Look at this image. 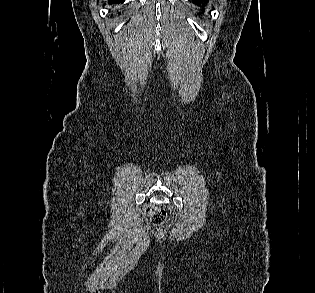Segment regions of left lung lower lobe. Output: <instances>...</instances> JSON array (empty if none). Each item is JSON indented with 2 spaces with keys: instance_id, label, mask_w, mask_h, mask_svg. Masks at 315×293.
Masks as SVG:
<instances>
[{
  "instance_id": "0a47b994",
  "label": "left lung lower lobe",
  "mask_w": 315,
  "mask_h": 293,
  "mask_svg": "<svg viewBox=\"0 0 315 293\" xmlns=\"http://www.w3.org/2000/svg\"><path fill=\"white\" fill-rule=\"evenodd\" d=\"M192 1L196 3H202L203 1H206V0H192Z\"/></svg>"
}]
</instances>
